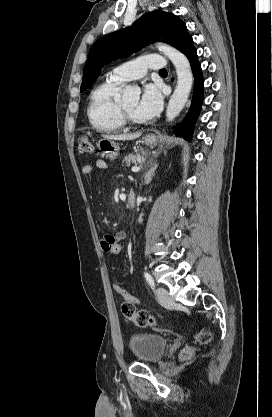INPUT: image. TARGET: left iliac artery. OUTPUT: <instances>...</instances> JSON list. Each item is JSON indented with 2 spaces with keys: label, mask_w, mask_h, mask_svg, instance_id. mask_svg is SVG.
Returning a JSON list of instances; mask_svg holds the SVG:
<instances>
[{
  "label": "left iliac artery",
  "mask_w": 272,
  "mask_h": 417,
  "mask_svg": "<svg viewBox=\"0 0 272 417\" xmlns=\"http://www.w3.org/2000/svg\"><path fill=\"white\" fill-rule=\"evenodd\" d=\"M144 277L146 281L148 282V284L150 285V287L152 289H155V283H154L152 276L148 272H144Z\"/></svg>",
  "instance_id": "44dca946"
}]
</instances>
